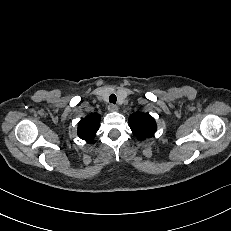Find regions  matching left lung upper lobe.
I'll list each match as a JSON object with an SVG mask.
<instances>
[{"label":"left lung upper lobe","instance_id":"1","mask_svg":"<svg viewBox=\"0 0 231 231\" xmlns=\"http://www.w3.org/2000/svg\"><path fill=\"white\" fill-rule=\"evenodd\" d=\"M129 125L134 135L140 139L153 135L157 129L154 118L148 113L136 112L130 115Z\"/></svg>","mask_w":231,"mask_h":231}]
</instances>
